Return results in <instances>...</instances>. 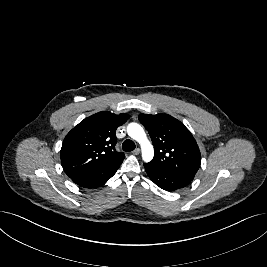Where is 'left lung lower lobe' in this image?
<instances>
[{"label":"left lung lower lobe","instance_id":"1","mask_svg":"<svg viewBox=\"0 0 267 267\" xmlns=\"http://www.w3.org/2000/svg\"><path fill=\"white\" fill-rule=\"evenodd\" d=\"M145 170L149 178L160 188L167 191H175L177 189L187 186L192 180L166 173L150 166L148 163L144 164Z\"/></svg>","mask_w":267,"mask_h":267}]
</instances>
